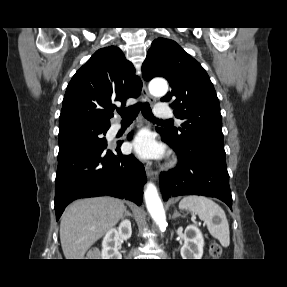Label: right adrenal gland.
<instances>
[{
  "label": "right adrenal gland",
  "instance_id": "right-adrenal-gland-1",
  "mask_svg": "<svg viewBox=\"0 0 287 287\" xmlns=\"http://www.w3.org/2000/svg\"><path fill=\"white\" fill-rule=\"evenodd\" d=\"M124 216H131L132 217L131 213L128 210H125Z\"/></svg>",
  "mask_w": 287,
  "mask_h": 287
}]
</instances>
